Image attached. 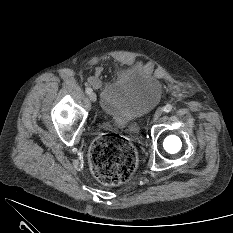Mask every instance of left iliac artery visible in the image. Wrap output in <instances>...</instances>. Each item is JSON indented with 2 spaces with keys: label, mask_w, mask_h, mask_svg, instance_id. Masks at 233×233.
Returning <instances> with one entry per match:
<instances>
[{
  "label": "left iliac artery",
  "mask_w": 233,
  "mask_h": 233,
  "mask_svg": "<svg viewBox=\"0 0 233 233\" xmlns=\"http://www.w3.org/2000/svg\"><path fill=\"white\" fill-rule=\"evenodd\" d=\"M172 109H173V106H172L171 104H167V105L163 108V110H164L166 113L171 112Z\"/></svg>",
  "instance_id": "1"
}]
</instances>
